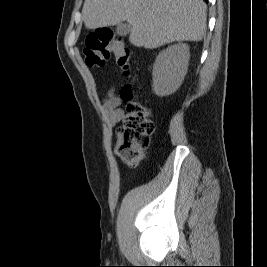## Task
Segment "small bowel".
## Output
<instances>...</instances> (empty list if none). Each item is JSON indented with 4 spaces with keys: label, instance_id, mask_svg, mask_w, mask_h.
<instances>
[{
    "label": "small bowel",
    "instance_id": "obj_1",
    "mask_svg": "<svg viewBox=\"0 0 267 267\" xmlns=\"http://www.w3.org/2000/svg\"><path fill=\"white\" fill-rule=\"evenodd\" d=\"M121 98L113 91H109L103 100L102 108L109 126H115L124 118V110L121 108Z\"/></svg>",
    "mask_w": 267,
    "mask_h": 267
}]
</instances>
